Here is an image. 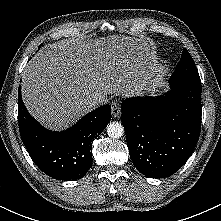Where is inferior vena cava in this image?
<instances>
[{
	"mask_svg": "<svg viewBox=\"0 0 221 221\" xmlns=\"http://www.w3.org/2000/svg\"><path fill=\"white\" fill-rule=\"evenodd\" d=\"M87 102L90 107H98L104 104V100L97 96L89 98Z\"/></svg>",
	"mask_w": 221,
	"mask_h": 221,
	"instance_id": "602c4592",
	"label": "inferior vena cava"
}]
</instances>
